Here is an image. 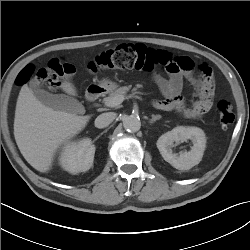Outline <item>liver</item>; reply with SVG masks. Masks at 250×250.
I'll return each instance as SVG.
<instances>
[{"mask_svg": "<svg viewBox=\"0 0 250 250\" xmlns=\"http://www.w3.org/2000/svg\"><path fill=\"white\" fill-rule=\"evenodd\" d=\"M61 88L70 95H76L74 86L69 82H64ZM90 117L53 110L42 104L25 85L17 99L14 137L25 160L44 173L50 170L58 148L80 133Z\"/></svg>", "mask_w": 250, "mask_h": 250, "instance_id": "1", "label": "liver"}]
</instances>
